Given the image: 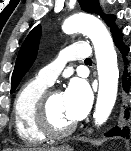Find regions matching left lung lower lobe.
Masks as SVG:
<instances>
[{
    "instance_id": "1",
    "label": "left lung lower lobe",
    "mask_w": 131,
    "mask_h": 151,
    "mask_svg": "<svg viewBox=\"0 0 131 151\" xmlns=\"http://www.w3.org/2000/svg\"><path fill=\"white\" fill-rule=\"evenodd\" d=\"M113 40L117 48L119 49L124 62V72L122 76V86L126 93L130 91L131 85V67L128 60L129 47L123 42V34L120 32L113 36ZM130 108L124 106V110L117 123L105 134L107 137L121 136L128 138L130 135Z\"/></svg>"
}]
</instances>
